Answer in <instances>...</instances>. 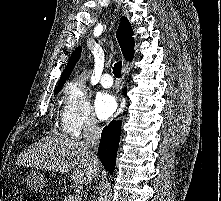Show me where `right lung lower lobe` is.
I'll return each instance as SVG.
<instances>
[{
  "label": "right lung lower lobe",
  "instance_id": "1",
  "mask_svg": "<svg viewBox=\"0 0 221 201\" xmlns=\"http://www.w3.org/2000/svg\"><path fill=\"white\" fill-rule=\"evenodd\" d=\"M121 123L112 121L101 134L98 154L104 167L113 174L120 140Z\"/></svg>",
  "mask_w": 221,
  "mask_h": 201
}]
</instances>
